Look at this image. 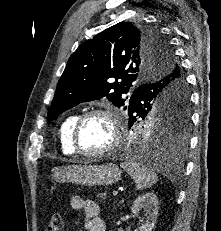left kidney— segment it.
<instances>
[{
  "label": "left kidney",
  "instance_id": "5707ae66",
  "mask_svg": "<svg viewBox=\"0 0 221 231\" xmlns=\"http://www.w3.org/2000/svg\"><path fill=\"white\" fill-rule=\"evenodd\" d=\"M158 198L154 193H146L137 198L131 206V212L138 216L140 210H144L145 220L141 224L139 231H152L158 217Z\"/></svg>",
  "mask_w": 221,
  "mask_h": 231
}]
</instances>
